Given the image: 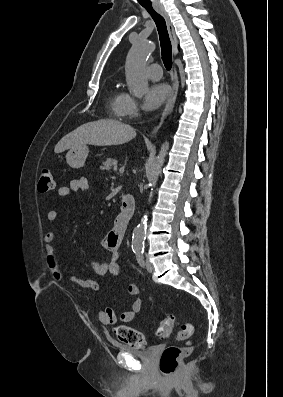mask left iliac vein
Returning a JSON list of instances; mask_svg holds the SVG:
<instances>
[{
	"mask_svg": "<svg viewBox=\"0 0 283 397\" xmlns=\"http://www.w3.org/2000/svg\"><path fill=\"white\" fill-rule=\"evenodd\" d=\"M146 269L150 273L153 271V265L148 259L146 260Z\"/></svg>",
	"mask_w": 283,
	"mask_h": 397,
	"instance_id": "4c4485c4",
	"label": "left iliac vein"
}]
</instances>
